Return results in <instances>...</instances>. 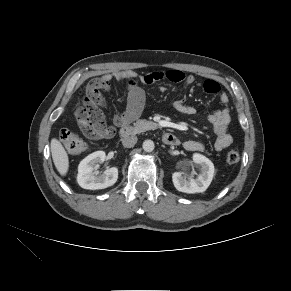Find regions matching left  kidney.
<instances>
[{"instance_id":"5707ae66","label":"left kidney","mask_w":291,"mask_h":291,"mask_svg":"<svg viewBox=\"0 0 291 291\" xmlns=\"http://www.w3.org/2000/svg\"><path fill=\"white\" fill-rule=\"evenodd\" d=\"M193 162L199 167V174L194 179L182 172H174L172 181L175 188L184 193H201L204 192L210 185L214 176V165L207 157L195 153Z\"/></svg>"}]
</instances>
